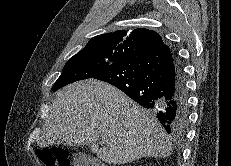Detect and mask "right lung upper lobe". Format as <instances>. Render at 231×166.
Masks as SVG:
<instances>
[{
  "label": "right lung upper lobe",
  "instance_id": "cb5924a9",
  "mask_svg": "<svg viewBox=\"0 0 231 166\" xmlns=\"http://www.w3.org/2000/svg\"><path fill=\"white\" fill-rule=\"evenodd\" d=\"M162 46L164 43L158 33L138 28L129 33L121 30L95 36L83 50H93L125 60L152 52Z\"/></svg>",
  "mask_w": 231,
  "mask_h": 166
}]
</instances>
